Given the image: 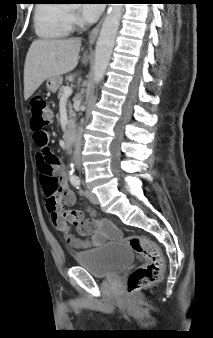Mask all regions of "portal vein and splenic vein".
Returning <instances> with one entry per match:
<instances>
[{"label": "portal vein and splenic vein", "instance_id": "portal-vein-and-splenic-vein-1", "mask_svg": "<svg viewBox=\"0 0 213 338\" xmlns=\"http://www.w3.org/2000/svg\"><path fill=\"white\" fill-rule=\"evenodd\" d=\"M72 94V88L67 86L64 89L63 99H67Z\"/></svg>", "mask_w": 213, "mask_h": 338}]
</instances>
